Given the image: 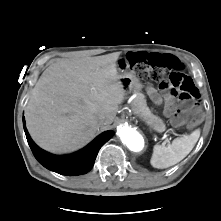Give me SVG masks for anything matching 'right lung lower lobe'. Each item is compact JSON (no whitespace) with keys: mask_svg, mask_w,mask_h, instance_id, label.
<instances>
[{"mask_svg":"<svg viewBox=\"0 0 221 221\" xmlns=\"http://www.w3.org/2000/svg\"><path fill=\"white\" fill-rule=\"evenodd\" d=\"M23 124L28 144L35 158L47 169L62 175L77 176L90 171L99 149L113 136L112 131H106L76 153L67 156H56L42 150L33 142L26 129L24 117Z\"/></svg>","mask_w":221,"mask_h":221,"instance_id":"obj_1","label":"right lung lower lobe"}]
</instances>
